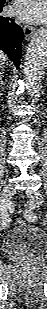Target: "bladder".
<instances>
[{"mask_svg": "<svg viewBox=\"0 0 47 309\" xmlns=\"http://www.w3.org/2000/svg\"><path fill=\"white\" fill-rule=\"evenodd\" d=\"M45 246V231L25 222L18 224L2 239L3 251L12 255L39 253Z\"/></svg>", "mask_w": 47, "mask_h": 309, "instance_id": "1", "label": "bladder"}]
</instances>
